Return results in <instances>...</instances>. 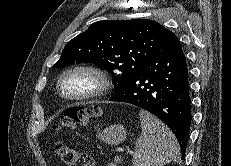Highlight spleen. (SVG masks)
<instances>
[{
  "mask_svg": "<svg viewBox=\"0 0 231 166\" xmlns=\"http://www.w3.org/2000/svg\"><path fill=\"white\" fill-rule=\"evenodd\" d=\"M142 133L136 141L133 166H164L180 160L175 135L157 117L140 110Z\"/></svg>",
  "mask_w": 231,
  "mask_h": 166,
  "instance_id": "spleen-1",
  "label": "spleen"
}]
</instances>
